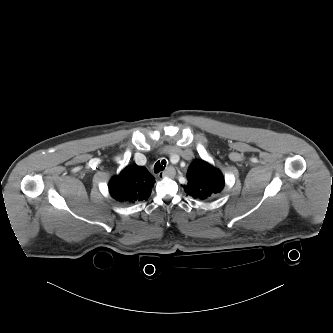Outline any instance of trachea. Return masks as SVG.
<instances>
[{"instance_id":"trachea-1","label":"trachea","mask_w":333,"mask_h":333,"mask_svg":"<svg viewBox=\"0 0 333 333\" xmlns=\"http://www.w3.org/2000/svg\"><path fill=\"white\" fill-rule=\"evenodd\" d=\"M166 163V160L157 161L154 165V172L159 173L160 171H163L165 169Z\"/></svg>"}]
</instances>
